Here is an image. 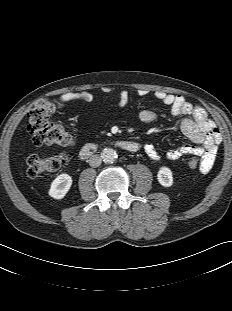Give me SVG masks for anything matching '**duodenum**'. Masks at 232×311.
Masks as SVG:
<instances>
[{"label": "duodenum", "instance_id": "obj_1", "mask_svg": "<svg viewBox=\"0 0 232 311\" xmlns=\"http://www.w3.org/2000/svg\"><path fill=\"white\" fill-rule=\"evenodd\" d=\"M114 145L124 151L134 153L138 151L139 146L133 141H118ZM99 146L97 144L89 143L84 145L80 150V156L83 159L91 157L97 150Z\"/></svg>", "mask_w": 232, "mask_h": 311}]
</instances>
